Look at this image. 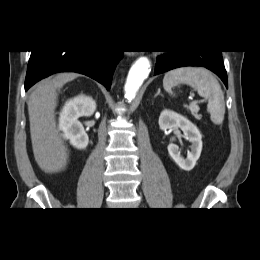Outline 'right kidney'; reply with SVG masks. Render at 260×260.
<instances>
[{
  "instance_id": "right-kidney-1",
  "label": "right kidney",
  "mask_w": 260,
  "mask_h": 260,
  "mask_svg": "<svg viewBox=\"0 0 260 260\" xmlns=\"http://www.w3.org/2000/svg\"><path fill=\"white\" fill-rule=\"evenodd\" d=\"M96 110V102L88 96L79 95L68 100L59 117V129L63 137L75 148L83 150L89 143V138L79 117L91 116Z\"/></svg>"
}]
</instances>
